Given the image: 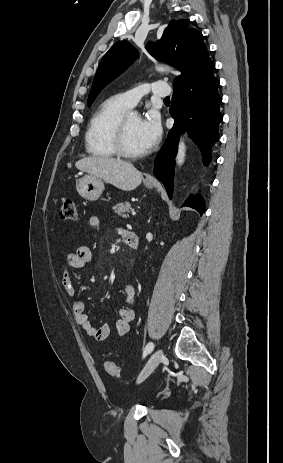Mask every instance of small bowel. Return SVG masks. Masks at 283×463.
<instances>
[{"label":"small bowel","mask_w":283,"mask_h":463,"mask_svg":"<svg viewBox=\"0 0 283 463\" xmlns=\"http://www.w3.org/2000/svg\"><path fill=\"white\" fill-rule=\"evenodd\" d=\"M90 228H97L100 220L97 216H90L87 220ZM119 233L124 238L126 230ZM92 259V251L88 246H81L76 251L69 252L66 256L63 268L62 284L66 294L72 298V310L76 323L87 333L88 336L97 341L108 339L113 327L119 336H125L130 331L131 323L135 319V312L130 306L122 307L118 310L117 318L113 324L96 326L86 313V304L83 300L75 298V286L72 278V271L81 268ZM123 297L128 305L135 301V288L127 284L123 287Z\"/></svg>","instance_id":"c3829d8e"}]
</instances>
